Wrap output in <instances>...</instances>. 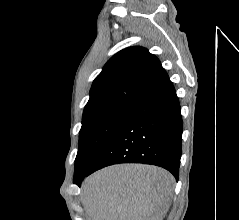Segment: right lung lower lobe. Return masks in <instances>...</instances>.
<instances>
[{
  "label": "right lung lower lobe",
  "instance_id": "obj_1",
  "mask_svg": "<svg viewBox=\"0 0 239 220\" xmlns=\"http://www.w3.org/2000/svg\"><path fill=\"white\" fill-rule=\"evenodd\" d=\"M182 143L180 104L172 82L165 80L135 101L85 176L117 163L163 167L178 180Z\"/></svg>",
  "mask_w": 239,
  "mask_h": 220
}]
</instances>
